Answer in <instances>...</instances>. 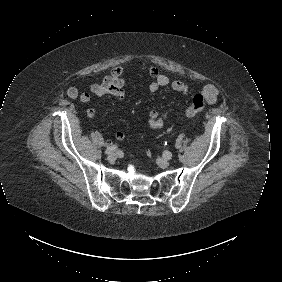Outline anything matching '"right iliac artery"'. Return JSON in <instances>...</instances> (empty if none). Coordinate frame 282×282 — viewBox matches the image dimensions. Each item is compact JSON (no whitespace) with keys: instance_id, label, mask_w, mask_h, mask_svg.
Wrapping results in <instances>:
<instances>
[{"instance_id":"obj_1","label":"right iliac artery","mask_w":282,"mask_h":282,"mask_svg":"<svg viewBox=\"0 0 282 282\" xmlns=\"http://www.w3.org/2000/svg\"><path fill=\"white\" fill-rule=\"evenodd\" d=\"M117 146L116 145H111L108 146L107 149L105 150V154H110L116 150Z\"/></svg>"}]
</instances>
